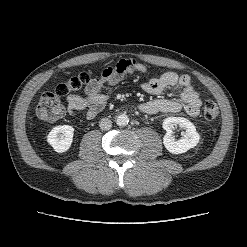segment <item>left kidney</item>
Returning a JSON list of instances; mask_svg holds the SVG:
<instances>
[{"label": "left kidney", "instance_id": "left-kidney-1", "mask_svg": "<svg viewBox=\"0 0 247 247\" xmlns=\"http://www.w3.org/2000/svg\"><path fill=\"white\" fill-rule=\"evenodd\" d=\"M179 125L185 130L183 137L176 139L173 136L175 126ZM163 129L166 134L163 137L165 148L172 154H181L195 147L200 139V135L192 122L183 117H168L163 121Z\"/></svg>", "mask_w": 247, "mask_h": 247}]
</instances>
